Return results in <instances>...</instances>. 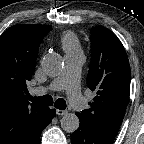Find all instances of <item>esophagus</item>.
Segmentation results:
<instances>
[{
    "instance_id": "esophagus-1",
    "label": "esophagus",
    "mask_w": 144,
    "mask_h": 144,
    "mask_svg": "<svg viewBox=\"0 0 144 144\" xmlns=\"http://www.w3.org/2000/svg\"><path fill=\"white\" fill-rule=\"evenodd\" d=\"M67 113H68L67 110H60V109H57V110H56V114H57V115H60V116L66 115Z\"/></svg>"
}]
</instances>
